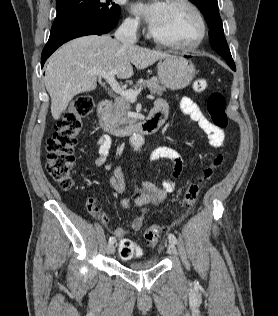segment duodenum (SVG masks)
Returning <instances> with one entry per match:
<instances>
[{
  "mask_svg": "<svg viewBox=\"0 0 278 316\" xmlns=\"http://www.w3.org/2000/svg\"><path fill=\"white\" fill-rule=\"evenodd\" d=\"M111 107L112 101L110 99L102 100L97 106V119L102 130L115 136L152 134L161 127L166 115L162 108L154 107L144 120L118 127L114 126L109 120L108 115Z\"/></svg>",
  "mask_w": 278,
  "mask_h": 316,
  "instance_id": "410a0bca",
  "label": "duodenum"
}]
</instances>
